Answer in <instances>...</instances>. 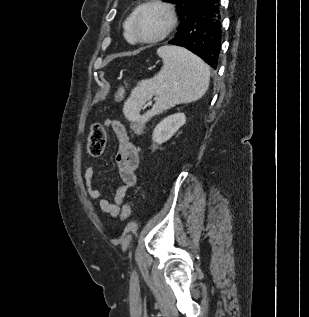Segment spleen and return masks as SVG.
I'll return each mask as SVG.
<instances>
[{
	"label": "spleen",
	"mask_w": 309,
	"mask_h": 317,
	"mask_svg": "<svg viewBox=\"0 0 309 317\" xmlns=\"http://www.w3.org/2000/svg\"><path fill=\"white\" fill-rule=\"evenodd\" d=\"M157 55L163 62L161 70L140 81L124 103L123 113L130 121L147 122L177 104L199 100L208 90L210 69L202 59L185 48L169 45L160 47ZM152 96L155 104L141 116L142 106Z\"/></svg>",
	"instance_id": "obj_1"
}]
</instances>
